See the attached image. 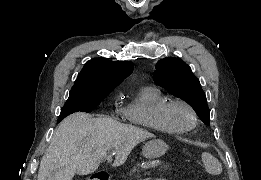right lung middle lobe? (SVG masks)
I'll return each instance as SVG.
<instances>
[{
    "label": "right lung middle lobe",
    "mask_w": 261,
    "mask_h": 180,
    "mask_svg": "<svg viewBox=\"0 0 261 180\" xmlns=\"http://www.w3.org/2000/svg\"><path fill=\"white\" fill-rule=\"evenodd\" d=\"M106 96L107 94L70 92L69 98L61 110L58 123L71 113L92 111Z\"/></svg>",
    "instance_id": "right-lung-middle-lobe-1"
}]
</instances>
